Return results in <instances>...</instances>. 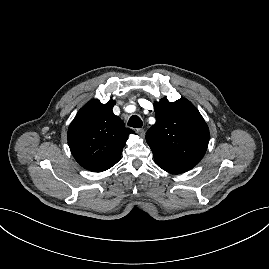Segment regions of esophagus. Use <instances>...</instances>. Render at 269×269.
Segmentation results:
<instances>
[{"label": "esophagus", "instance_id": "esophagus-1", "mask_svg": "<svg viewBox=\"0 0 269 269\" xmlns=\"http://www.w3.org/2000/svg\"><path fill=\"white\" fill-rule=\"evenodd\" d=\"M136 133L140 136V137H144L145 136V130L144 129H137Z\"/></svg>", "mask_w": 269, "mask_h": 269}]
</instances>
